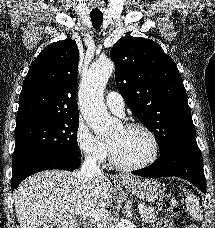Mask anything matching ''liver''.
Here are the masks:
<instances>
[{
    "instance_id": "6515ba94",
    "label": "liver",
    "mask_w": 215,
    "mask_h": 228,
    "mask_svg": "<svg viewBox=\"0 0 215 228\" xmlns=\"http://www.w3.org/2000/svg\"><path fill=\"white\" fill-rule=\"evenodd\" d=\"M113 190L107 176L83 184L77 172H38L13 194L17 220L21 228H80L79 218H90L111 204ZM79 210L88 216L76 214Z\"/></svg>"
}]
</instances>
